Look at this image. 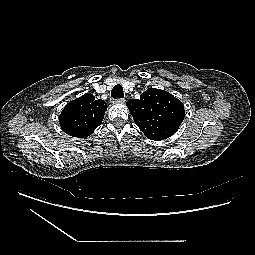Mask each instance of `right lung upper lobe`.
Segmentation results:
<instances>
[{"instance_id": "right-lung-upper-lobe-1", "label": "right lung upper lobe", "mask_w": 255, "mask_h": 255, "mask_svg": "<svg viewBox=\"0 0 255 255\" xmlns=\"http://www.w3.org/2000/svg\"><path fill=\"white\" fill-rule=\"evenodd\" d=\"M107 104L91 93L69 102L60 115L62 130L72 137L84 138L101 125Z\"/></svg>"}]
</instances>
